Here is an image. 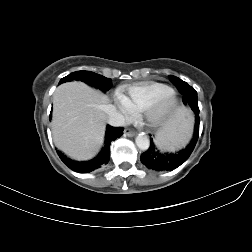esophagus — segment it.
<instances>
[{
  "label": "esophagus",
  "instance_id": "obj_1",
  "mask_svg": "<svg viewBox=\"0 0 252 252\" xmlns=\"http://www.w3.org/2000/svg\"><path fill=\"white\" fill-rule=\"evenodd\" d=\"M124 135H125V136H128V137H133V136L135 135V133L132 132V131L129 130V129H125V130H124Z\"/></svg>",
  "mask_w": 252,
  "mask_h": 252
}]
</instances>
